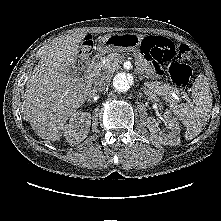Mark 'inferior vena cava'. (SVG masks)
<instances>
[{
	"mask_svg": "<svg viewBox=\"0 0 221 221\" xmlns=\"http://www.w3.org/2000/svg\"><path fill=\"white\" fill-rule=\"evenodd\" d=\"M109 73L103 74L101 78L95 81L94 87H93V94L97 92H102L105 90L106 86L110 82V77Z\"/></svg>",
	"mask_w": 221,
	"mask_h": 221,
	"instance_id": "602c4592",
	"label": "inferior vena cava"
}]
</instances>
